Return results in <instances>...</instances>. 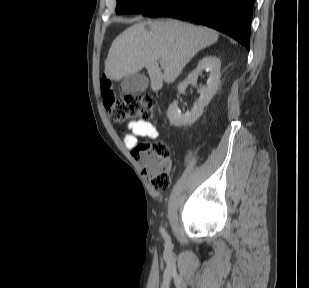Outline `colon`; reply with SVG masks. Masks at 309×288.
Wrapping results in <instances>:
<instances>
[{"label":"colon","instance_id":"1","mask_svg":"<svg viewBox=\"0 0 309 288\" xmlns=\"http://www.w3.org/2000/svg\"><path fill=\"white\" fill-rule=\"evenodd\" d=\"M103 104L109 117L116 122L140 118L154 120L157 100L147 94L129 93L117 98L107 76L100 83ZM135 156L150 185L156 190H166L170 185V150L163 141L139 143L134 147Z\"/></svg>","mask_w":309,"mask_h":288}]
</instances>
